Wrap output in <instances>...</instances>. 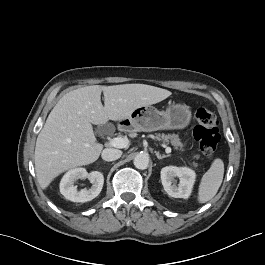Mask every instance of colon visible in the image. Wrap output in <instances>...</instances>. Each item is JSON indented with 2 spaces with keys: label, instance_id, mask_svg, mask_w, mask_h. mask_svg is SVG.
<instances>
[{
  "label": "colon",
  "instance_id": "5ec220e1",
  "mask_svg": "<svg viewBox=\"0 0 265 265\" xmlns=\"http://www.w3.org/2000/svg\"><path fill=\"white\" fill-rule=\"evenodd\" d=\"M195 118L197 124L193 131L194 137L198 141L202 153L211 158L220 141L218 120L216 115L207 108H199Z\"/></svg>",
  "mask_w": 265,
  "mask_h": 265
}]
</instances>
